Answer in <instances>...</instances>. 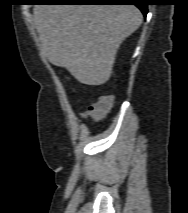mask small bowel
Wrapping results in <instances>:
<instances>
[{"label":"small bowel","instance_id":"small-bowel-1","mask_svg":"<svg viewBox=\"0 0 188 213\" xmlns=\"http://www.w3.org/2000/svg\"><path fill=\"white\" fill-rule=\"evenodd\" d=\"M88 115H89V114H88V111L84 113V116H88Z\"/></svg>","mask_w":188,"mask_h":213}]
</instances>
